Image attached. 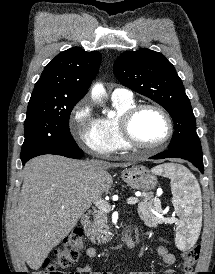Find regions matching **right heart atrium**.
Listing matches in <instances>:
<instances>
[{"mask_svg":"<svg viewBox=\"0 0 215 274\" xmlns=\"http://www.w3.org/2000/svg\"><path fill=\"white\" fill-rule=\"evenodd\" d=\"M70 132L87 152L98 156H107L110 153L109 143L100 131L98 119L94 117L87 99L74 106L70 116Z\"/></svg>","mask_w":215,"mask_h":274,"instance_id":"obj_1","label":"right heart atrium"}]
</instances>
